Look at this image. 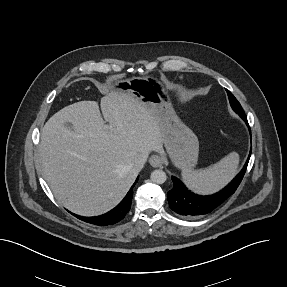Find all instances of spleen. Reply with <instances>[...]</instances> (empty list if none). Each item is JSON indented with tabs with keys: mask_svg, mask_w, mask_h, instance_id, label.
Returning <instances> with one entry per match:
<instances>
[{
	"mask_svg": "<svg viewBox=\"0 0 287 287\" xmlns=\"http://www.w3.org/2000/svg\"><path fill=\"white\" fill-rule=\"evenodd\" d=\"M239 154L231 152L218 163L205 169L182 170L186 186L198 194H212L226 186L237 174Z\"/></svg>",
	"mask_w": 287,
	"mask_h": 287,
	"instance_id": "spleen-1",
	"label": "spleen"
}]
</instances>
